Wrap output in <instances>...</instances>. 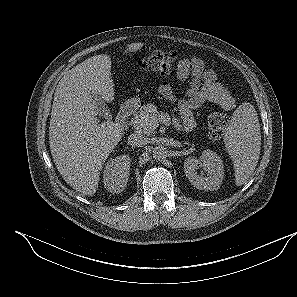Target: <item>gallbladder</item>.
<instances>
[{
  "label": "gallbladder",
  "instance_id": "bac80fb5",
  "mask_svg": "<svg viewBox=\"0 0 297 297\" xmlns=\"http://www.w3.org/2000/svg\"><path fill=\"white\" fill-rule=\"evenodd\" d=\"M91 95H92V98L97 106L99 115L105 119H110L111 114L105 104V101L103 99H100V97L98 95H95V94H91Z\"/></svg>",
  "mask_w": 297,
  "mask_h": 297
}]
</instances>
